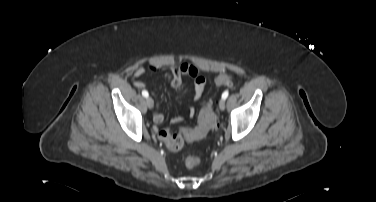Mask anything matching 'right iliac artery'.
Instances as JSON below:
<instances>
[{
    "label": "right iliac artery",
    "mask_w": 376,
    "mask_h": 202,
    "mask_svg": "<svg viewBox=\"0 0 376 202\" xmlns=\"http://www.w3.org/2000/svg\"><path fill=\"white\" fill-rule=\"evenodd\" d=\"M142 95H143L144 97H146V98L149 96V94H148V92H147L146 90H143V91H142Z\"/></svg>",
    "instance_id": "82829eb1"
}]
</instances>
